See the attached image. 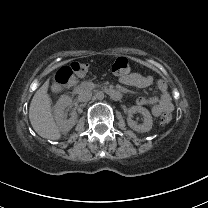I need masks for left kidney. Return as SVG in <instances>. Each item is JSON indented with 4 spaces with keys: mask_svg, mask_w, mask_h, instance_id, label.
Segmentation results:
<instances>
[{
    "mask_svg": "<svg viewBox=\"0 0 208 208\" xmlns=\"http://www.w3.org/2000/svg\"><path fill=\"white\" fill-rule=\"evenodd\" d=\"M141 113L144 117L143 124H137V122L131 119V116L134 113ZM128 126L137 132H148L151 130L153 125V120L150 112L141 106H132L128 109V119H127Z\"/></svg>",
    "mask_w": 208,
    "mask_h": 208,
    "instance_id": "5707ae66",
    "label": "left kidney"
}]
</instances>
